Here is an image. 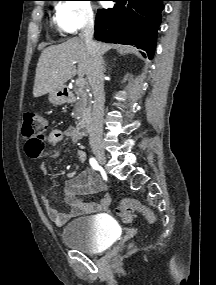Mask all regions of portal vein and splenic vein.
<instances>
[{
  "label": "portal vein and splenic vein",
  "instance_id": "portal-vein-and-splenic-vein-1",
  "mask_svg": "<svg viewBox=\"0 0 216 285\" xmlns=\"http://www.w3.org/2000/svg\"><path fill=\"white\" fill-rule=\"evenodd\" d=\"M76 85L78 87H83L85 85V80L83 78V76H80L77 80H76Z\"/></svg>",
  "mask_w": 216,
  "mask_h": 285
}]
</instances>
